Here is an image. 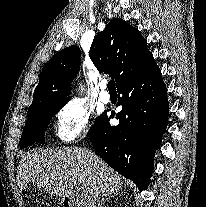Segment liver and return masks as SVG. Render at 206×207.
Here are the masks:
<instances>
[{"mask_svg":"<svg viewBox=\"0 0 206 207\" xmlns=\"http://www.w3.org/2000/svg\"><path fill=\"white\" fill-rule=\"evenodd\" d=\"M21 189L34 182L56 197L70 198L78 182L83 200L97 194L109 196L123 186L122 177L101 158L85 148L38 149L26 154L17 168Z\"/></svg>","mask_w":206,"mask_h":207,"instance_id":"1","label":"liver"}]
</instances>
